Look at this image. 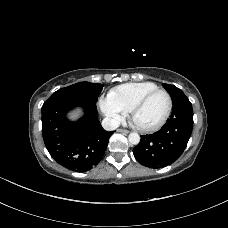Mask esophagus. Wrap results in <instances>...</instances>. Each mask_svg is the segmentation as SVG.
Here are the masks:
<instances>
[{
  "label": "esophagus",
  "mask_w": 228,
  "mask_h": 228,
  "mask_svg": "<svg viewBox=\"0 0 228 228\" xmlns=\"http://www.w3.org/2000/svg\"><path fill=\"white\" fill-rule=\"evenodd\" d=\"M117 132H120V133H125V134H128V133H129V131H128V130H126V129H122V128L117 129Z\"/></svg>",
  "instance_id": "obj_1"
}]
</instances>
